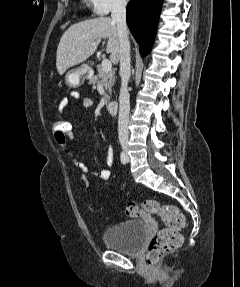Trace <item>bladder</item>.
<instances>
[{
	"instance_id": "bladder-1",
	"label": "bladder",
	"mask_w": 240,
	"mask_h": 287,
	"mask_svg": "<svg viewBox=\"0 0 240 287\" xmlns=\"http://www.w3.org/2000/svg\"><path fill=\"white\" fill-rule=\"evenodd\" d=\"M148 235L145 222L135 219L106 228L103 241L110 249L128 255H137L141 252Z\"/></svg>"
}]
</instances>
